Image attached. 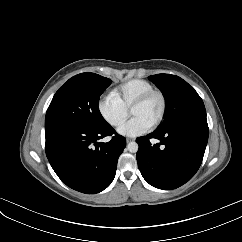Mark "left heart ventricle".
I'll use <instances>...</instances> for the list:
<instances>
[{"label":"left heart ventricle","instance_id":"b2bd125f","mask_svg":"<svg viewBox=\"0 0 242 242\" xmlns=\"http://www.w3.org/2000/svg\"><path fill=\"white\" fill-rule=\"evenodd\" d=\"M161 110V101L159 97L154 96L142 106L135 108L131 115L138 117L150 126L157 120Z\"/></svg>","mask_w":242,"mask_h":242}]
</instances>
